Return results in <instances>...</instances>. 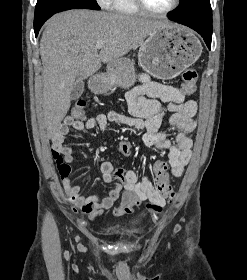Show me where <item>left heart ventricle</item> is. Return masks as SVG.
<instances>
[{
  "mask_svg": "<svg viewBox=\"0 0 247 280\" xmlns=\"http://www.w3.org/2000/svg\"><path fill=\"white\" fill-rule=\"evenodd\" d=\"M144 2L152 10L163 11L172 5L173 0H144Z\"/></svg>",
  "mask_w": 247,
  "mask_h": 280,
  "instance_id": "1",
  "label": "left heart ventricle"
}]
</instances>
